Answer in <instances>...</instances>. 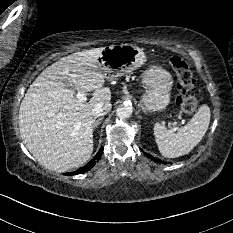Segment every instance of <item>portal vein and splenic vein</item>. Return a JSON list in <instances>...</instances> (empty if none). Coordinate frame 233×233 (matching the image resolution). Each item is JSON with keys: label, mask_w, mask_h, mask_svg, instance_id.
<instances>
[{"label": "portal vein and splenic vein", "mask_w": 233, "mask_h": 233, "mask_svg": "<svg viewBox=\"0 0 233 233\" xmlns=\"http://www.w3.org/2000/svg\"><path fill=\"white\" fill-rule=\"evenodd\" d=\"M76 97H77V99H78L80 102H85V101H87L86 95H85L83 92H81V91H78V92H77Z\"/></svg>", "instance_id": "portal-vein-and-splenic-vein-1"}]
</instances>
